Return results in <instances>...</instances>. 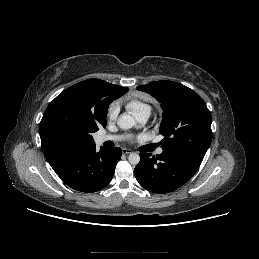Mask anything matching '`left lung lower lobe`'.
<instances>
[{"label": "left lung lower lobe", "instance_id": "obj_1", "mask_svg": "<svg viewBox=\"0 0 259 259\" xmlns=\"http://www.w3.org/2000/svg\"><path fill=\"white\" fill-rule=\"evenodd\" d=\"M203 158L199 154L185 151L163 150L156 156L140 153V162L134 174L146 190L158 194L169 193L192 178Z\"/></svg>", "mask_w": 259, "mask_h": 259}]
</instances>
